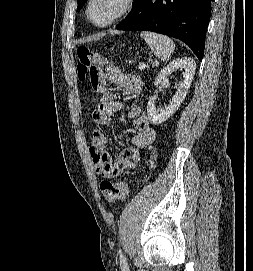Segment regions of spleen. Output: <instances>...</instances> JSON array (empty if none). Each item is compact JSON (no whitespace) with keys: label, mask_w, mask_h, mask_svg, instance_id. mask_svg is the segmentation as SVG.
<instances>
[{"label":"spleen","mask_w":253,"mask_h":271,"mask_svg":"<svg viewBox=\"0 0 253 271\" xmlns=\"http://www.w3.org/2000/svg\"><path fill=\"white\" fill-rule=\"evenodd\" d=\"M140 36L148 43L151 48V51L154 55L158 56L161 61H168L175 49V44L172 39L169 37L149 32L143 31Z\"/></svg>","instance_id":"3e777b00"}]
</instances>
